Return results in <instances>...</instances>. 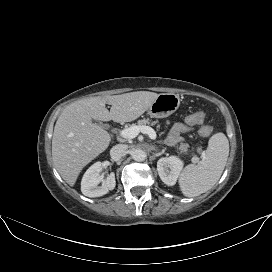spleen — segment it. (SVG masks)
Returning a JSON list of instances; mask_svg holds the SVG:
<instances>
[{
    "label": "spleen",
    "instance_id": "1",
    "mask_svg": "<svg viewBox=\"0 0 272 272\" xmlns=\"http://www.w3.org/2000/svg\"><path fill=\"white\" fill-rule=\"evenodd\" d=\"M229 156V141L224 133L214 134L205 155L198 164H189L179 179L180 189L186 197H196L211 189L222 175Z\"/></svg>",
    "mask_w": 272,
    "mask_h": 272
}]
</instances>
